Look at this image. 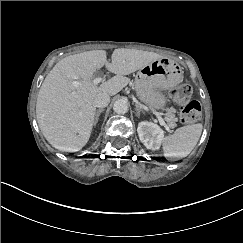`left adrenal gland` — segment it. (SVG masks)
Returning a JSON list of instances; mask_svg holds the SVG:
<instances>
[{
	"instance_id": "1",
	"label": "left adrenal gland",
	"mask_w": 243,
	"mask_h": 243,
	"mask_svg": "<svg viewBox=\"0 0 243 243\" xmlns=\"http://www.w3.org/2000/svg\"><path fill=\"white\" fill-rule=\"evenodd\" d=\"M135 110H136V115L139 117L140 116V112L141 111H143L140 107H139V105H137V104H135Z\"/></svg>"
}]
</instances>
